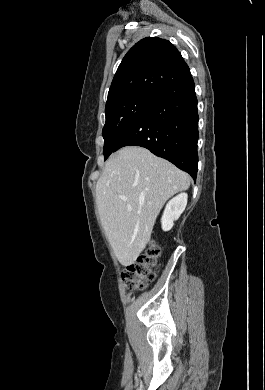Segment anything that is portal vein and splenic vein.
<instances>
[{
  "mask_svg": "<svg viewBox=\"0 0 265 390\" xmlns=\"http://www.w3.org/2000/svg\"><path fill=\"white\" fill-rule=\"evenodd\" d=\"M122 200H123V201H127V199H126L125 197H122Z\"/></svg>",
  "mask_w": 265,
  "mask_h": 390,
  "instance_id": "18ae733b",
  "label": "portal vein and splenic vein"
}]
</instances>
